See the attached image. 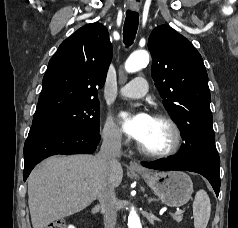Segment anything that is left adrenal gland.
Wrapping results in <instances>:
<instances>
[{"instance_id": "left-adrenal-gland-1", "label": "left adrenal gland", "mask_w": 238, "mask_h": 228, "mask_svg": "<svg viewBox=\"0 0 238 228\" xmlns=\"http://www.w3.org/2000/svg\"><path fill=\"white\" fill-rule=\"evenodd\" d=\"M153 201H156V199H154V198H148V202L150 203V202H153Z\"/></svg>"}]
</instances>
